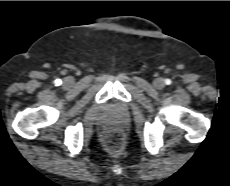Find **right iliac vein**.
Returning <instances> with one entry per match:
<instances>
[{
	"instance_id": "63e3f726",
	"label": "right iliac vein",
	"mask_w": 230,
	"mask_h": 186,
	"mask_svg": "<svg viewBox=\"0 0 230 186\" xmlns=\"http://www.w3.org/2000/svg\"><path fill=\"white\" fill-rule=\"evenodd\" d=\"M63 84L65 86H70V85L73 84V79L71 77H67V78L64 79Z\"/></svg>"
}]
</instances>
